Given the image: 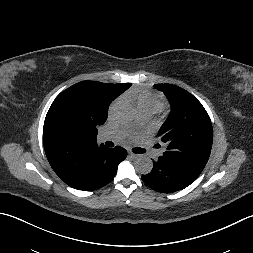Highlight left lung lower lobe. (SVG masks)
<instances>
[{"label":"left lung lower lobe","mask_w":253,"mask_h":253,"mask_svg":"<svg viewBox=\"0 0 253 253\" xmlns=\"http://www.w3.org/2000/svg\"><path fill=\"white\" fill-rule=\"evenodd\" d=\"M200 173L186 165L160 156L153 162L152 171L141 178L153 190L171 193L189 186Z\"/></svg>","instance_id":"1"}]
</instances>
